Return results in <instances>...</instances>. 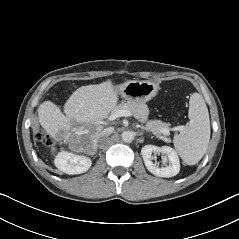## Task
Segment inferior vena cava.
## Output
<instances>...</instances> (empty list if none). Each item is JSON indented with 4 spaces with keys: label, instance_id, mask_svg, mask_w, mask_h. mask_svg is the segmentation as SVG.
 <instances>
[{
    "label": "inferior vena cava",
    "instance_id": "1",
    "mask_svg": "<svg viewBox=\"0 0 239 239\" xmlns=\"http://www.w3.org/2000/svg\"><path fill=\"white\" fill-rule=\"evenodd\" d=\"M111 134L110 129H105L101 133L98 134L97 138L95 139V145H99L103 142Z\"/></svg>",
    "mask_w": 239,
    "mask_h": 239
}]
</instances>
